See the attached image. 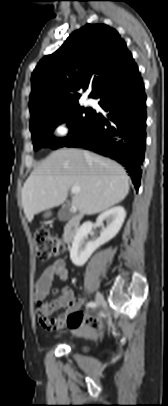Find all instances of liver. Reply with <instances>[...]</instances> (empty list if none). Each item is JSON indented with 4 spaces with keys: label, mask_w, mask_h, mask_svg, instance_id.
Returning a JSON list of instances; mask_svg holds the SVG:
<instances>
[{
    "label": "liver",
    "mask_w": 168,
    "mask_h": 406,
    "mask_svg": "<svg viewBox=\"0 0 168 406\" xmlns=\"http://www.w3.org/2000/svg\"><path fill=\"white\" fill-rule=\"evenodd\" d=\"M78 186L72 205L81 213L97 214L118 204L129 192V177L117 162L79 149L52 152L35 168L22 188V206L28 222L44 210L59 206Z\"/></svg>",
    "instance_id": "obj_1"
}]
</instances>
